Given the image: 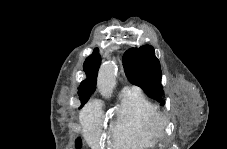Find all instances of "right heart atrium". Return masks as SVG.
Masks as SVG:
<instances>
[{
	"label": "right heart atrium",
	"mask_w": 227,
	"mask_h": 149,
	"mask_svg": "<svg viewBox=\"0 0 227 149\" xmlns=\"http://www.w3.org/2000/svg\"><path fill=\"white\" fill-rule=\"evenodd\" d=\"M81 122L88 143L91 145H98L103 128V115L98 101H91L86 106L82 113Z\"/></svg>",
	"instance_id": "1"
}]
</instances>
